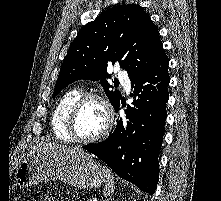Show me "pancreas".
<instances>
[{
    "label": "pancreas",
    "instance_id": "pancreas-1",
    "mask_svg": "<svg viewBox=\"0 0 221 201\" xmlns=\"http://www.w3.org/2000/svg\"><path fill=\"white\" fill-rule=\"evenodd\" d=\"M76 201H82V199H81V197L79 196V194H77Z\"/></svg>",
    "mask_w": 221,
    "mask_h": 201
}]
</instances>
